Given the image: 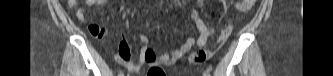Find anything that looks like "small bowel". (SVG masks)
<instances>
[{"label": "small bowel", "mask_w": 333, "mask_h": 76, "mask_svg": "<svg viewBox=\"0 0 333 76\" xmlns=\"http://www.w3.org/2000/svg\"><path fill=\"white\" fill-rule=\"evenodd\" d=\"M202 1H196V5H199ZM87 6L99 5L107 6V0H86ZM68 6L75 12V16L80 21H85V15L80 8L78 0H68ZM191 20L198 31V37H188L177 49L167 51L161 55H156L155 48L151 44L149 38L146 35L140 36V42L142 47L139 51L136 60H130V48L126 40L122 37L119 42L118 51L114 58L115 61L125 66L129 71L136 72L141 69L143 65H146V76H168L166 69L162 67H168L180 60L186 55V53L194 46L203 47L210 37L216 32V29L208 27L204 21L199 17L196 7L192 8L186 16ZM89 30L92 33L93 39H102L107 33L105 27L100 26L98 23H91Z\"/></svg>", "instance_id": "small-bowel-1"}]
</instances>
